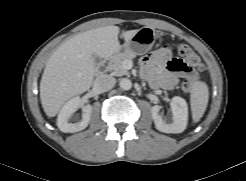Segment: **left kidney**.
I'll return each mask as SVG.
<instances>
[{
	"label": "left kidney",
	"mask_w": 246,
	"mask_h": 181,
	"mask_svg": "<svg viewBox=\"0 0 246 181\" xmlns=\"http://www.w3.org/2000/svg\"><path fill=\"white\" fill-rule=\"evenodd\" d=\"M172 122H167L161 113V106L155 105L151 108L152 118L157 130L164 133H181L186 129L188 121V106L182 97L175 96L171 103Z\"/></svg>",
	"instance_id": "5707ae66"
}]
</instances>
